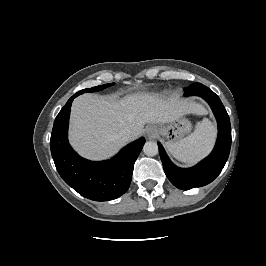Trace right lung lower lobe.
I'll list each match as a JSON object with an SVG mask.
<instances>
[{"label": "right lung lower lobe", "mask_w": 266, "mask_h": 266, "mask_svg": "<svg viewBox=\"0 0 266 266\" xmlns=\"http://www.w3.org/2000/svg\"><path fill=\"white\" fill-rule=\"evenodd\" d=\"M74 94L57 115L50 140L51 154L61 178L80 195L94 201L113 200L129 188L134 163L145 143L140 138L110 160L94 162L80 157L68 142V125Z\"/></svg>", "instance_id": "1"}]
</instances>
